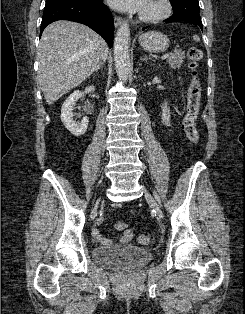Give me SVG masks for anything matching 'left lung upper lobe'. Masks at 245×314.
<instances>
[{
	"mask_svg": "<svg viewBox=\"0 0 245 314\" xmlns=\"http://www.w3.org/2000/svg\"><path fill=\"white\" fill-rule=\"evenodd\" d=\"M173 7L174 17H186L201 21L198 0H169Z\"/></svg>",
	"mask_w": 245,
	"mask_h": 314,
	"instance_id": "5c2ea615",
	"label": "left lung upper lobe"
}]
</instances>
